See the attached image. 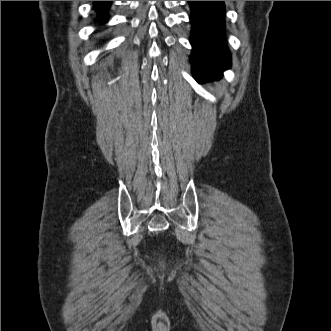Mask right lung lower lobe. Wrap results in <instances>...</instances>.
Wrapping results in <instances>:
<instances>
[{"instance_id": "obj_1", "label": "right lung lower lobe", "mask_w": 331, "mask_h": 331, "mask_svg": "<svg viewBox=\"0 0 331 331\" xmlns=\"http://www.w3.org/2000/svg\"><path fill=\"white\" fill-rule=\"evenodd\" d=\"M111 4V1H95V9L98 11L99 19L102 21H107L106 16H107V10Z\"/></svg>"}]
</instances>
